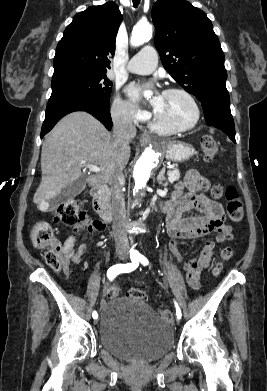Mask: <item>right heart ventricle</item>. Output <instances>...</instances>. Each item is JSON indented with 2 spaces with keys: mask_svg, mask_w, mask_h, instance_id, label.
Wrapping results in <instances>:
<instances>
[{
  "mask_svg": "<svg viewBox=\"0 0 267 391\" xmlns=\"http://www.w3.org/2000/svg\"><path fill=\"white\" fill-rule=\"evenodd\" d=\"M154 129L160 133H163V134H167V133H170L169 131H166V130H163L157 126L154 125Z\"/></svg>",
  "mask_w": 267,
  "mask_h": 391,
  "instance_id": "e07e8e85",
  "label": "right heart ventricle"
}]
</instances>
